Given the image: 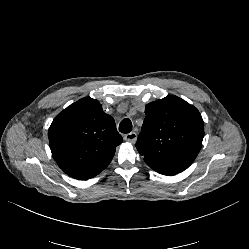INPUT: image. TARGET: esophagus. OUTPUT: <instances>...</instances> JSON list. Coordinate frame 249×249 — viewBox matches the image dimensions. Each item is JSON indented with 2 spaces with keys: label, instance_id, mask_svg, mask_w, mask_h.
I'll use <instances>...</instances> for the list:
<instances>
[{
  "label": "esophagus",
  "instance_id": "1",
  "mask_svg": "<svg viewBox=\"0 0 249 249\" xmlns=\"http://www.w3.org/2000/svg\"><path fill=\"white\" fill-rule=\"evenodd\" d=\"M137 137L138 135L136 132H130L128 134H125L123 139L128 143L135 144Z\"/></svg>",
  "mask_w": 249,
  "mask_h": 249
}]
</instances>
